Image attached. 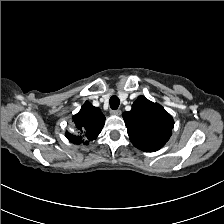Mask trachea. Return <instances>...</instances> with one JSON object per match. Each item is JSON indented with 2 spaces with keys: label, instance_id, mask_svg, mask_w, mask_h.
Returning a JSON list of instances; mask_svg holds the SVG:
<instances>
[{
  "label": "trachea",
  "instance_id": "obj_1",
  "mask_svg": "<svg viewBox=\"0 0 224 224\" xmlns=\"http://www.w3.org/2000/svg\"><path fill=\"white\" fill-rule=\"evenodd\" d=\"M109 104L111 109H117L119 107L120 100L117 96H112L109 100Z\"/></svg>",
  "mask_w": 224,
  "mask_h": 224
}]
</instances>
